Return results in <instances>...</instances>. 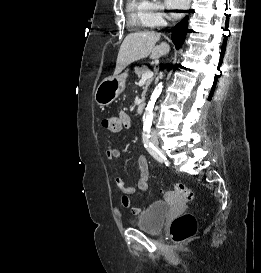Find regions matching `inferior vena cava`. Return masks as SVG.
<instances>
[{"mask_svg": "<svg viewBox=\"0 0 261 273\" xmlns=\"http://www.w3.org/2000/svg\"><path fill=\"white\" fill-rule=\"evenodd\" d=\"M152 136L157 137V132L155 130L152 131Z\"/></svg>", "mask_w": 261, "mask_h": 273, "instance_id": "1", "label": "inferior vena cava"}]
</instances>
